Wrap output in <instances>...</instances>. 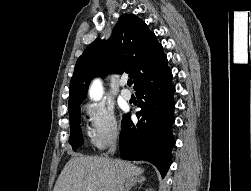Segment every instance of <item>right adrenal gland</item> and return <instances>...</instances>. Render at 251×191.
<instances>
[{
  "instance_id": "2a0ac1e0",
  "label": "right adrenal gland",
  "mask_w": 251,
  "mask_h": 191,
  "mask_svg": "<svg viewBox=\"0 0 251 191\" xmlns=\"http://www.w3.org/2000/svg\"><path fill=\"white\" fill-rule=\"evenodd\" d=\"M142 181H145V177H142V175H136V177H127L125 183L126 185L125 191H130L133 185H137V183H142Z\"/></svg>"
}]
</instances>
